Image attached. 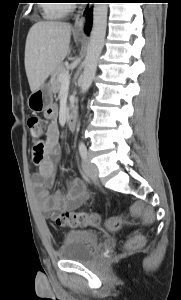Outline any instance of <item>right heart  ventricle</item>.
<instances>
[{
  "label": "right heart ventricle",
  "mask_w": 181,
  "mask_h": 300,
  "mask_svg": "<svg viewBox=\"0 0 181 300\" xmlns=\"http://www.w3.org/2000/svg\"><path fill=\"white\" fill-rule=\"evenodd\" d=\"M48 3L42 5L43 15L47 19H59L66 15L68 6L62 0H45Z\"/></svg>",
  "instance_id": "1"
}]
</instances>
